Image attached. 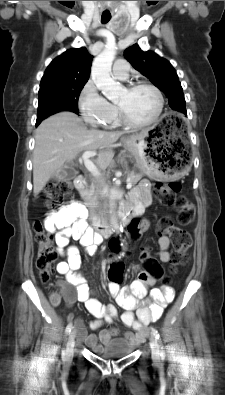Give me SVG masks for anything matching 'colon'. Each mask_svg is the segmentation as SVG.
Here are the masks:
<instances>
[{
	"label": "colon",
	"instance_id": "colon-1",
	"mask_svg": "<svg viewBox=\"0 0 225 395\" xmlns=\"http://www.w3.org/2000/svg\"><path fill=\"white\" fill-rule=\"evenodd\" d=\"M180 189L181 186L179 182H159L155 186V194L161 204L175 207L177 211L176 219L180 225H189L195 219V208L191 202L179 194ZM71 191V181L63 179L49 183L45 188L44 196L51 207L58 208L62 200L69 195ZM133 220L134 222H141L142 217L141 215H134ZM127 229L128 235H135L134 239H139L138 235L141 232L139 223H128ZM34 231L37 243L36 267L39 271L41 281L46 283L51 278L56 261L53 236L39 221L34 223ZM157 231L159 234L168 235L171 238L173 244L172 270L174 271L187 261V251L191 246V236L188 231L175 225L170 217H163L160 219L157 225ZM124 243L130 244L131 240L125 239ZM121 244L122 239L119 235H116L115 238L109 239L108 249L109 251H118V245ZM126 254L130 255L131 251L127 250ZM139 256L144 266L148 268V275H154V281H163L165 268H159L154 260L152 251L140 250ZM124 270L125 267L121 265L120 261H116L115 265H111L110 271L107 274L110 288H121L122 283L120 279L124 277ZM71 293H73L71 289L67 287L63 289L64 297L69 296ZM60 300L61 296L59 294H53L51 296V302L54 305L59 304Z\"/></svg>",
	"mask_w": 225,
	"mask_h": 395
}]
</instances>
